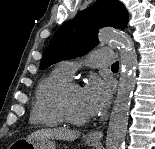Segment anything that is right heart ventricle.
Returning a JSON list of instances; mask_svg holds the SVG:
<instances>
[{
	"mask_svg": "<svg viewBox=\"0 0 155 149\" xmlns=\"http://www.w3.org/2000/svg\"><path fill=\"white\" fill-rule=\"evenodd\" d=\"M60 67L44 76L36 86L30 110V122L43 127H57L64 123L56 106L59 87L69 81Z\"/></svg>",
	"mask_w": 155,
	"mask_h": 149,
	"instance_id": "1",
	"label": "right heart ventricle"
}]
</instances>
